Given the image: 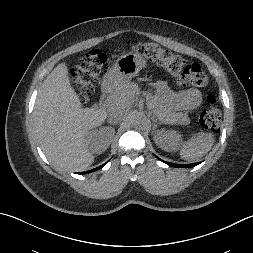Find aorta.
Here are the masks:
<instances>
[{"label":"aorta","mask_w":253,"mask_h":253,"mask_svg":"<svg viewBox=\"0 0 253 253\" xmlns=\"http://www.w3.org/2000/svg\"><path fill=\"white\" fill-rule=\"evenodd\" d=\"M133 123L135 125H144L146 123V117L143 114L136 112L133 116Z\"/></svg>","instance_id":"aorta-1"}]
</instances>
